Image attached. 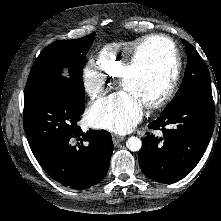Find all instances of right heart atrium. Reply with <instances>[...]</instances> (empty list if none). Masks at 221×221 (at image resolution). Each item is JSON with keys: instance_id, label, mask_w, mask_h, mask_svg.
Returning <instances> with one entry per match:
<instances>
[{"instance_id": "obj_1", "label": "right heart atrium", "mask_w": 221, "mask_h": 221, "mask_svg": "<svg viewBox=\"0 0 221 221\" xmlns=\"http://www.w3.org/2000/svg\"><path fill=\"white\" fill-rule=\"evenodd\" d=\"M84 81L86 91L93 100L101 98L112 86V81L94 62L85 65Z\"/></svg>"}]
</instances>
